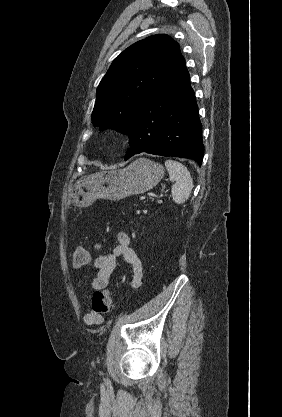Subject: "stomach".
Returning <instances> with one entry per match:
<instances>
[{
	"instance_id": "0dacf381",
	"label": "stomach",
	"mask_w": 282,
	"mask_h": 417,
	"mask_svg": "<svg viewBox=\"0 0 282 417\" xmlns=\"http://www.w3.org/2000/svg\"><path fill=\"white\" fill-rule=\"evenodd\" d=\"M163 176L162 164L137 158L127 168H107L80 178L73 188V202L77 206H89L96 198L120 200L141 194L156 186Z\"/></svg>"
}]
</instances>
